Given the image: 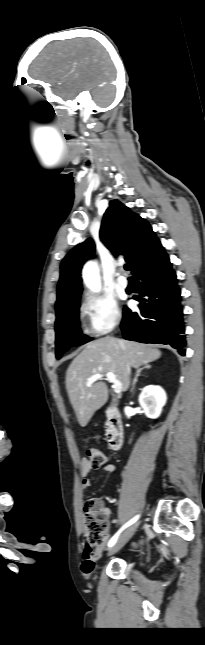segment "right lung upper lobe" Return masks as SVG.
Segmentation results:
<instances>
[{
  "mask_svg": "<svg viewBox=\"0 0 205 645\" xmlns=\"http://www.w3.org/2000/svg\"><path fill=\"white\" fill-rule=\"evenodd\" d=\"M100 239L114 255H125L135 275L147 265L166 255L151 226L119 201L113 200L106 210ZM91 238L75 246L61 263L57 287L56 314L71 306L82 292L80 272L84 262L93 256Z\"/></svg>",
  "mask_w": 205,
  "mask_h": 645,
  "instance_id": "cb5924a9",
  "label": "right lung upper lobe"
}]
</instances>
